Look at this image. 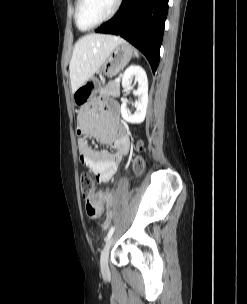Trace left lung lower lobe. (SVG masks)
<instances>
[{
    "instance_id": "1",
    "label": "left lung lower lobe",
    "mask_w": 247,
    "mask_h": 304,
    "mask_svg": "<svg viewBox=\"0 0 247 304\" xmlns=\"http://www.w3.org/2000/svg\"><path fill=\"white\" fill-rule=\"evenodd\" d=\"M168 13V0H123L118 13L95 31L120 35L139 49L155 73Z\"/></svg>"
}]
</instances>
